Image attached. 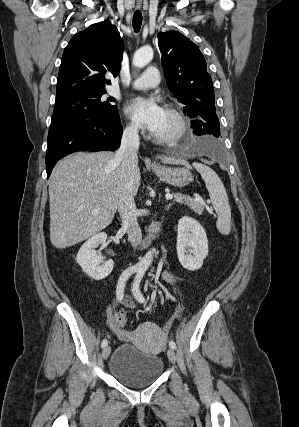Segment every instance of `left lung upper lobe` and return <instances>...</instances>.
Segmentation results:
<instances>
[{
  "label": "left lung upper lobe",
  "mask_w": 299,
  "mask_h": 427,
  "mask_svg": "<svg viewBox=\"0 0 299 427\" xmlns=\"http://www.w3.org/2000/svg\"><path fill=\"white\" fill-rule=\"evenodd\" d=\"M158 46L162 53V67L174 97L183 103L190 118L198 117L201 108L208 110L209 131L220 136L216 115L212 79L207 72L204 56L199 48L177 31L160 32Z\"/></svg>",
  "instance_id": "1"
}]
</instances>
